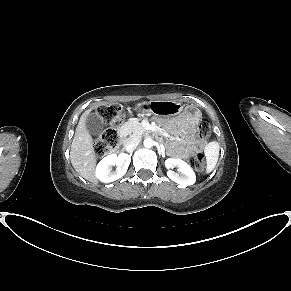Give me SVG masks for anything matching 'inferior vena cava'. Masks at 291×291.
<instances>
[{
	"instance_id": "inferior-vena-cava-1",
	"label": "inferior vena cava",
	"mask_w": 291,
	"mask_h": 291,
	"mask_svg": "<svg viewBox=\"0 0 291 291\" xmlns=\"http://www.w3.org/2000/svg\"><path fill=\"white\" fill-rule=\"evenodd\" d=\"M138 143H139V138H134V139L129 140L128 144L126 145V150L131 151L133 148L137 146Z\"/></svg>"
}]
</instances>
